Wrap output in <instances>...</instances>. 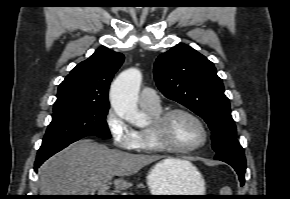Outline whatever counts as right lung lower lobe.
<instances>
[{
    "label": "right lung lower lobe",
    "mask_w": 290,
    "mask_h": 199,
    "mask_svg": "<svg viewBox=\"0 0 290 199\" xmlns=\"http://www.w3.org/2000/svg\"><path fill=\"white\" fill-rule=\"evenodd\" d=\"M69 145V144H68ZM68 145H63L55 148H49V149H44V150H39L37 154V158L35 160V167L34 169L37 170L40 165L47 160L49 157L54 155L55 153L59 152L60 150L64 149Z\"/></svg>",
    "instance_id": "98d812e1"
}]
</instances>
